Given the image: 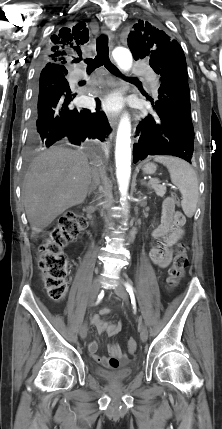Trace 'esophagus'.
I'll return each instance as SVG.
<instances>
[{"label":"esophagus","mask_w":222,"mask_h":429,"mask_svg":"<svg viewBox=\"0 0 222 429\" xmlns=\"http://www.w3.org/2000/svg\"><path fill=\"white\" fill-rule=\"evenodd\" d=\"M101 32L103 34H105V35L108 36V38H109V40L111 42L110 45H111V47H113L114 34L107 27H105V26H102ZM108 119H109V124H110L111 128L113 130H115L116 127H117V125H118V121H119L118 116H116V115H109Z\"/></svg>","instance_id":"34e87169"}]
</instances>
